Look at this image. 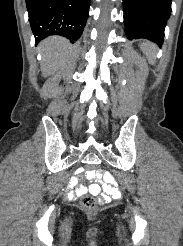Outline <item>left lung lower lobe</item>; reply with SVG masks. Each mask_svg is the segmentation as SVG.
I'll return each mask as SVG.
<instances>
[{
  "mask_svg": "<svg viewBox=\"0 0 183 246\" xmlns=\"http://www.w3.org/2000/svg\"><path fill=\"white\" fill-rule=\"evenodd\" d=\"M172 0H123L125 33L129 39L145 38L162 45Z\"/></svg>",
  "mask_w": 183,
  "mask_h": 246,
  "instance_id": "0a47b994",
  "label": "left lung lower lobe"
}]
</instances>
